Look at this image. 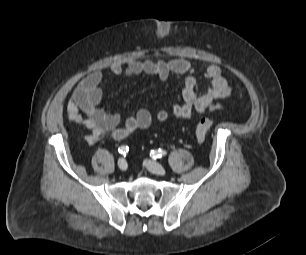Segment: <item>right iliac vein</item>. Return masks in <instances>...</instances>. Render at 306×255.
Here are the masks:
<instances>
[{"label": "right iliac vein", "instance_id": "63e3f726", "mask_svg": "<svg viewBox=\"0 0 306 255\" xmlns=\"http://www.w3.org/2000/svg\"><path fill=\"white\" fill-rule=\"evenodd\" d=\"M118 168L122 171L127 169V162L124 158H120L117 162Z\"/></svg>", "mask_w": 306, "mask_h": 255}]
</instances>
